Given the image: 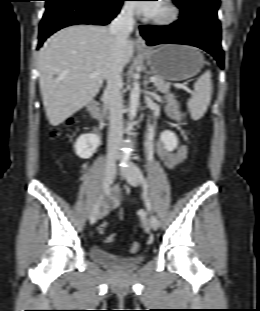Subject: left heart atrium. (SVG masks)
<instances>
[{"label": "left heart atrium", "instance_id": "obj_1", "mask_svg": "<svg viewBox=\"0 0 260 311\" xmlns=\"http://www.w3.org/2000/svg\"><path fill=\"white\" fill-rule=\"evenodd\" d=\"M159 1H145V2H156V3L138 2V3H134L133 6L139 13L145 14L147 16H153L155 12L157 11V8L160 4Z\"/></svg>", "mask_w": 260, "mask_h": 311}]
</instances>
